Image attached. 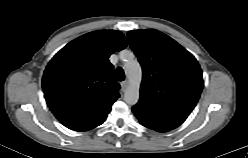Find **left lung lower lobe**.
<instances>
[{"instance_id":"obj_1","label":"left lung lower lobe","mask_w":248,"mask_h":158,"mask_svg":"<svg viewBox=\"0 0 248 158\" xmlns=\"http://www.w3.org/2000/svg\"><path fill=\"white\" fill-rule=\"evenodd\" d=\"M142 125H144V126H146V127H148L147 125H145L143 122H140ZM149 128V127H148Z\"/></svg>"}]
</instances>
